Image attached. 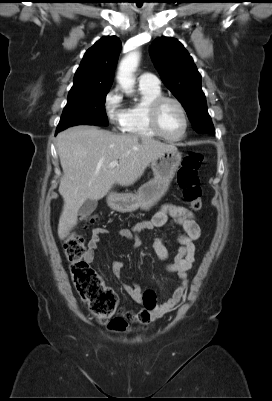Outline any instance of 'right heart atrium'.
Here are the masks:
<instances>
[{"label":"right heart atrium","mask_w":272,"mask_h":401,"mask_svg":"<svg viewBox=\"0 0 272 401\" xmlns=\"http://www.w3.org/2000/svg\"><path fill=\"white\" fill-rule=\"evenodd\" d=\"M104 111L109 122L116 128H121L125 119L126 109L119 88L108 91L103 102Z\"/></svg>","instance_id":"1"}]
</instances>
